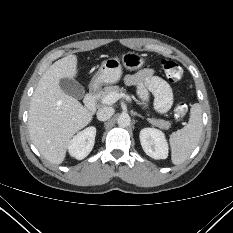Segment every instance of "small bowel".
Segmentation results:
<instances>
[{
	"instance_id": "obj_1",
	"label": "small bowel",
	"mask_w": 233,
	"mask_h": 233,
	"mask_svg": "<svg viewBox=\"0 0 233 233\" xmlns=\"http://www.w3.org/2000/svg\"><path fill=\"white\" fill-rule=\"evenodd\" d=\"M125 83L136 87L143 106L148 104L152 94L155 97V108L160 114H165L171 109L174 101L172 89L164 79L155 75L152 69L126 75Z\"/></svg>"
}]
</instances>
